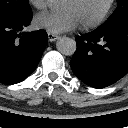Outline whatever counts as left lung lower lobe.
<instances>
[{
	"instance_id": "obj_1",
	"label": "left lung lower lobe",
	"mask_w": 128,
	"mask_h": 128,
	"mask_svg": "<svg viewBox=\"0 0 128 128\" xmlns=\"http://www.w3.org/2000/svg\"><path fill=\"white\" fill-rule=\"evenodd\" d=\"M76 44L70 65L85 84L104 88L128 73V20L78 36Z\"/></svg>"
}]
</instances>
